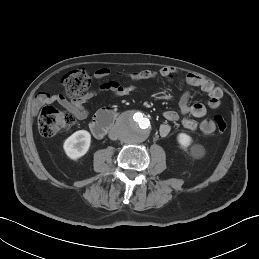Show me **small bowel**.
Instances as JSON below:
<instances>
[{"label": "small bowel", "instance_id": "c3829d8e", "mask_svg": "<svg viewBox=\"0 0 259 259\" xmlns=\"http://www.w3.org/2000/svg\"><path fill=\"white\" fill-rule=\"evenodd\" d=\"M111 70L108 68H101L94 72V78L97 80H102L111 74ZM177 69L173 67H164L159 71L152 70H141V71H131L123 72L120 75L133 81H147L154 80L158 78H163L168 81H173ZM183 82L185 85L190 87H196L206 93L209 97L208 107L211 109H216L221 105V99L223 97V91L221 88L214 85V83L195 74H187L183 77ZM134 86L124 85L117 81L116 79H109L103 81L99 86L85 92L81 97L77 99H68L62 94H50V93H39L32 103V111L36 112L41 106L50 103H58L64 107L67 111L72 113L77 119L87 118L89 112L86 105L92 101L95 97L102 93H111L114 96L122 97L130 92H132ZM179 109L181 114L186 117L182 120L183 126L190 130L195 131L199 129L202 133L210 135L215 131V124L211 119H203L201 122L190 118H202L206 115L207 108L204 104L196 102L190 103V92L185 91L179 99ZM163 117L167 122H176L179 119V115L174 110H166L163 113ZM171 127L169 124H162L159 127V133L161 136L169 135Z\"/></svg>", "mask_w": 259, "mask_h": 259}]
</instances>
